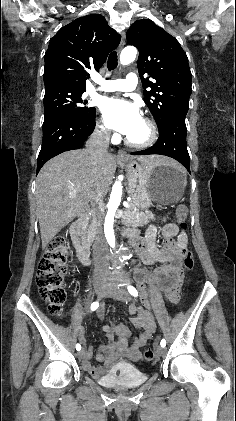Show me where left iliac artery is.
<instances>
[{"label": "left iliac artery", "mask_w": 236, "mask_h": 421, "mask_svg": "<svg viewBox=\"0 0 236 421\" xmlns=\"http://www.w3.org/2000/svg\"><path fill=\"white\" fill-rule=\"evenodd\" d=\"M127 289H128L129 293H130L132 296H134V297H137V296H138V292H137V290L135 289V287H133V286H131V285H128V286H127ZM160 345H161L162 347H165V346H166V341H165L164 339H162V340H161V342H160Z\"/></svg>", "instance_id": "left-iliac-artery-1"}]
</instances>
